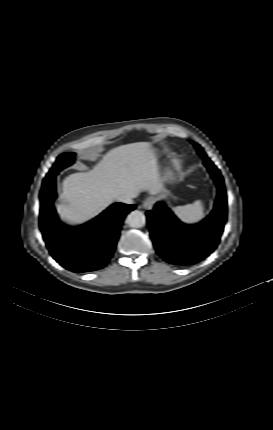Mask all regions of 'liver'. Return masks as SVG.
I'll use <instances>...</instances> for the list:
<instances>
[{
  "instance_id": "1",
  "label": "liver",
  "mask_w": 273,
  "mask_h": 430,
  "mask_svg": "<svg viewBox=\"0 0 273 430\" xmlns=\"http://www.w3.org/2000/svg\"><path fill=\"white\" fill-rule=\"evenodd\" d=\"M142 191L159 194L163 184L150 144L136 142L110 150L90 171L66 177L62 183L63 202L56 209L62 222L80 226L120 196L136 197Z\"/></svg>"
}]
</instances>
